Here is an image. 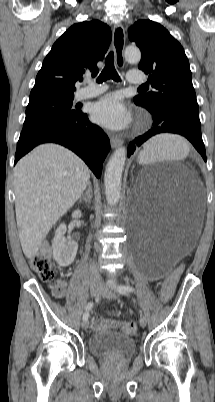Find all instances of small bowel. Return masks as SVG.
Returning a JSON list of instances; mask_svg holds the SVG:
<instances>
[{"instance_id": "c3829d8e", "label": "small bowel", "mask_w": 215, "mask_h": 402, "mask_svg": "<svg viewBox=\"0 0 215 402\" xmlns=\"http://www.w3.org/2000/svg\"><path fill=\"white\" fill-rule=\"evenodd\" d=\"M57 289L60 290V292L62 293L63 289H64V284L63 283H59ZM169 299V298H168Z\"/></svg>"}]
</instances>
